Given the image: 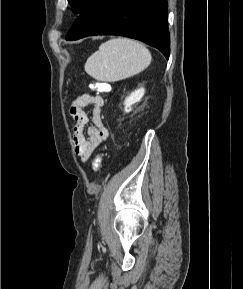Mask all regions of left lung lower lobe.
<instances>
[{
  "mask_svg": "<svg viewBox=\"0 0 243 289\" xmlns=\"http://www.w3.org/2000/svg\"><path fill=\"white\" fill-rule=\"evenodd\" d=\"M167 0H90L66 40L92 35H121L170 53Z\"/></svg>",
  "mask_w": 243,
  "mask_h": 289,
  "instance_id": "obj_1",
  "label": "left lung lower lobe"
}]
</instances>
